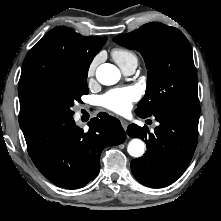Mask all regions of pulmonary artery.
<instances>
[{"mask_svg":"<svg viewBox=\"0 0 221 221\" xmlns=\"http://www.w3.org/2000/svg\"><path fill=\"white\" fill-rule=\"evenodd\" d=\"M137 67V62H129L124 66H121L120 68L122 69V71L127 74V75H131L134 73L135 69Z\"/></svg>","mask_w":221,"mask_h":221,"instance_id":"e3ab8cb5","label":"pulmonary artery"}]
</instances>
